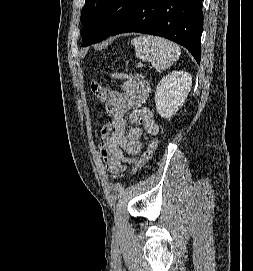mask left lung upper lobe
I'll list each match as a JSON object with an SVG mask.
<instances>
[{"instance_id": "5c2ea615", "label": "left lung upper lobe", "mask_w": 253, "mask_h": 271, "mask_svg": "<svg viewBox=\"0 0 253 271\" xmlns=\"http://www.w3.org/2000/svg\"><path fill=\"white\" fill-rule=\"evenodd\" d=\"M133 0H85L81 11L84 46L109 37L123 22Z\"/></svg>"}]
</instances>
